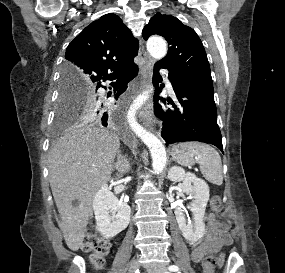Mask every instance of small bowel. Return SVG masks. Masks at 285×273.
<instances>
[{"label": "small bowel", "instance_id": "obj_1", "mask_svg": "<svg viewBox=\"0 0 285 273\" xmlns=\"http://www.w3.org/2000/svg\"><path fill=\"white\" fill-rule=\"evenodd\" d=\"M228 224H224L216 220L213 214H209L207 217V228L205 237L191 253V257L194 261H199L203 255L210 250H220L224 246H229L232 243V239L228 234ZM224 255L219 258V265L222 264Z\"/></svg>", "mask_w": 285, "mask_h": 273}]
</instances>
